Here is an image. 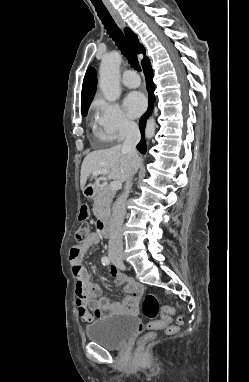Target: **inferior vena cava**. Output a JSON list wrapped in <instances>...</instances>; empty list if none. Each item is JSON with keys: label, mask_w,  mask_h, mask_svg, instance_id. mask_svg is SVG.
<instances>
[{"label": "inferior vena cava", "mask_w": 249, "mask_h": 382, "mask_svg": "<svg viewBox=\"0 0 249 382\" xmlns=\"http://www.w3.org/2000/svg\"><path fill=\"white\" fill-rule=\"evenodd\" d=\"M141 138L139 127L136 123L130 122L126 125L125 141L122 145L132 160L130 175L126 180L124 193L116 200L112 208L110 222V239L108 255L110 258H121L123 256L122 225L126 214V200L132 187V178L138 169V153L136 145Z\"/></svg>", "instance_id": "obj_1"}]
</instances>
